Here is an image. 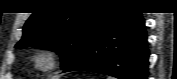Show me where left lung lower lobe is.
<instances>
[{"label":"left lung lower lobe","mask_w":177,"mask_h":79,"mask_svg":"<svg viewBox=\"0 0 177 79\" xmlns=\"http://www.w3.org/2000/svg\"><path fill=\"white\" fill-rule=\"evenodd\" d=\"M149 51L141 13L105 12L64 72L90 71L119 79H146Z\"/></svg>","instance_id":"obj_1"}]
</instances>
